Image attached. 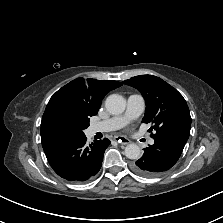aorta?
I'll return each instance as SVG.
<instances>
[{"label": "aorta", "instance_id": "762f6f07", "mask_svg": "<svg viewBox=\"0 0 223 223\" xmlns=\"http://www.w3.org/2000/svg\"><path fill=\"white\" fill-rule=\"evenodd\" d=\"M105 107L109 113L113 115H119L124 112L126 101L121 95L112 94L107 97L105 101ZM125 156L133 160L139 159L141 156L140 147L135 143L128 144L125 148Z\"/></svg>", "mask_w": 223, "mask_h": 223}]
</instances>
